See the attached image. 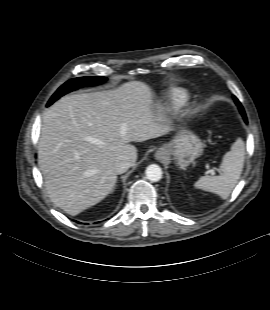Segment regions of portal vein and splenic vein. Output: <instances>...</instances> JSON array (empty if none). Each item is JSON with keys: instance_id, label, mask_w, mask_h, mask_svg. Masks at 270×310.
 <instances>
[{"instance_id": "obj_1", "label": "portal vein and splenic vein", "mask_w": 270, "mask_h": 310, "mask_svg": "<svg viewBox=\"0 0 270 310\" xmlns=\"http://www.w3.org/2000/svg\"><path fill=\"white\" fill-rule=\"evenodd\" d=\"M210 172H211V174H214V173H215V171H214V170H210Z\"/></svg>"}]
</instances>
